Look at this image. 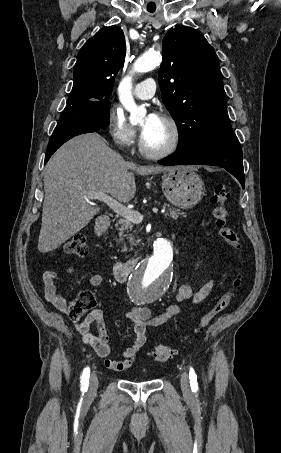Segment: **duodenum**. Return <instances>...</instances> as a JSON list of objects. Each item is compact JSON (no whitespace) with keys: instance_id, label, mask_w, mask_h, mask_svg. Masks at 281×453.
Returning a JSON list of instances; mask_svg holds the SVG:
<instances>
[{"instance_id":"duodenum-1","label":"duodenum","mask_w":281,"mask_h":453,"mask_svg":"<svg viewBox=\"0 0 281 453\" xmlns=\"http://www.w3.org/2000/svg\"><path fill=\"white\" fill-rule=\"evenodd\" d=\"M109 225L110 220L108 218H100L99 220H97L95 224V233L98 236L104 235L107 232ZM138 262L139 258H133L128 261L117 262L113 268V274L115 279L118 282L126 281Z\"/></svg>"}]
</instances>
